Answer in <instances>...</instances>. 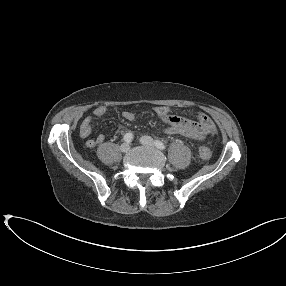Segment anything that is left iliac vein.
Instances as JSON below:
<instances>
[{"label":"left iliac vein","instance_id":"obj_1","mask_svg":"<svg viewBox=\"0 0 286 286\" xmlns=\"http://www.w3.org/2000/svg\"><path fill=\"white\" fill-rule=\"evenodd\" d=\"M140 142H141V144H143L145 146H149V147L154 146V141L150 136H142L140 138Z\"/></svg>","mask_w":286,"mask_h":286}]
</instances>
